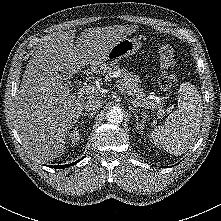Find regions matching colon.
I'll list each match as a JSON object with an SVG mask.
<instances>
[{
    "label": "colon",
    "instance_id": "obj_1",
    "mask_svg": "<svg viewBox=\"0 0 221 221\" xmlns=\"http://www.w3.org/2000/svg\"><path fill=\"white\" fill-rule=\"evenodd\" d=\"M158 61L161 68L158 81L162 90L168 91L173 88L177 80V53L175 49L164 44L158 50Z\"/></svg>",
    "mask_w": 221,
    "mask_h": 221
}]
</instances>
